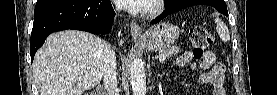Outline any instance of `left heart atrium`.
Wrapping results in <instances>:
<instances>
[{"mask_svg":"<svg viewBox=\"0 0 277 95\" xmlns=\"http://www.w3.org/2000/svg\"><path fill=\"white\" fill-rule=\"evenodd\" d=\"M120 6L132 11H141L149 3V0H118Z\"/></svg>","mask_w":277,"mask_h":95,"instance_id":"obj_1","label":"left heart atrium"}]
</instances>
